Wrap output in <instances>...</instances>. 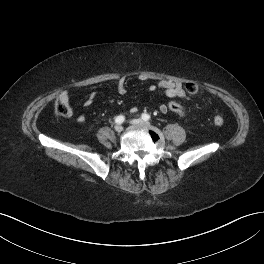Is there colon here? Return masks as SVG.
Returning <instances> with one entry per match:
<instances>
[{"label": "colon", "mask_w": 264, "mask_h": 264, "mask_svg": "<svg viewBox=\"0 0 264 264\" xmlns=\"http://www.w3.org/2000/svg\"><path fill=\"white\" fill-rule=\"evenodd\" d=\"M185 90L188 94L194 95L198 92L199 88L196 83L189 82L185 85ZM167 107L171 112L181 118H184L186 116L185 109L176 101H170ZM55 111L57 115L65 117L69 114V107L66 104L58 101L55 106ZM214 123L217 126H222L224 124V119L220 115H216L214 117Z\"/></svg>", "instance_id": "5ec220e1"}]
</instances>
